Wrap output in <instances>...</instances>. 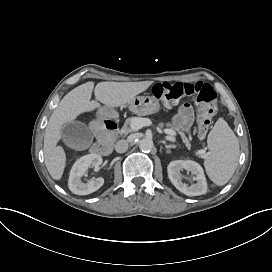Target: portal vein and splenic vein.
<instances>
[{"label":"portal vein and splenic vein","mask_w":272,"mask_h":272,"mask_svg":"<svg viewBox=\"0 0 272 272\" xmlns=\"http://www.w3.org/2000/svg\"><path fill=\"white\" fill-rule=\"evenodd\" d=\"M152 124V121L148 118H138V117H134L132 119V123H131V128L133 129V131H137L139 129H141L144 126H150ZM164 133L169 134L171 136L176 135V132L172 129H164L163 130ZM171 141H175V138H168ZM197 154H199V151L197 152Z\"/></svg>","instance_id":"obj_1"}]
</instances>
